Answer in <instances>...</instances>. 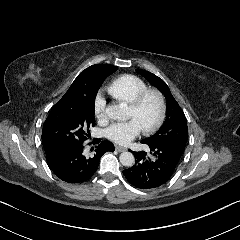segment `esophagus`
<instances>
[{
    "mask_svg": "<svg viewBox=\"0 0 240 240\" xmlns=\"http://www.w3.org/2000/svg\"><path fill=\"white\" fill-rule=\"evenodd\" d=\"M115 148H116V150H117L118 152H124V151H127V148H126V147H123V146H119V145H117Z\"/></svg>",
    "mask_w": 240,
    "mask_h": 240,
    "instance_id": "34e87169",
    "label": "esophagus"
}]
</instances>
